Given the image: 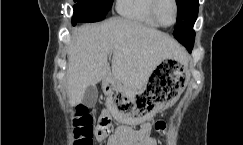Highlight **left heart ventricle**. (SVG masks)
<instances>
[{"label": "left heart ventricle", "instance_id": "b2bd125f", "mask_svg": "<svg viewBox=\"0 0 243 145\" xmlns=\"http://www.w3.org/2000/svg\"><path fill=\"white\" fill-rule=\"evenodd\" d=\"M159 15L166 24H171L174 19V7L171 0H161L159 5Z\"/></svg>", "mask_w": 243, "mask_h": 145}]
</instances>
